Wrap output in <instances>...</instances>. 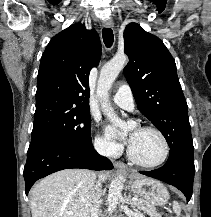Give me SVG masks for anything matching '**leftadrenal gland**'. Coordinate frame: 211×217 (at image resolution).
Returning a JSON list of instances; mask_svg holds the SVG:
<instances>
[{
    "label": "left adrenal gland",
    "instance_id": "obj_1",
    "mask_svg": "<svg viewBox=\"0 0 211 217\" xmlns=\"http://www.w3.org/2000/svg\"><path fill=\"white\" fill-rule=\"evenodd\" d=\"M125 202L127 205H130L133 209L135 208V205L131 200V194L130 193H129L128 197H126Z\"/></svg>",
    "mask_w": 211,
    "mask_h": 217
}]
</instances>
